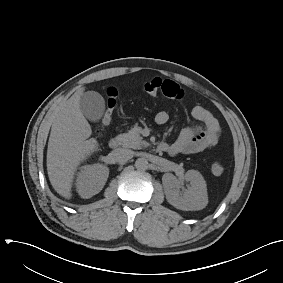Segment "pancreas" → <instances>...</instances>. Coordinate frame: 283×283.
Masks as SVG:
<instances>
[{
    "mask_svg": "<svg viewBox=\"0 0 283 283\" xmlns=\"http://www.w3.org/2000/svg\"><path fill=\"white\" fill-rule=\"evenodd\" d=\"M141 128L135 125L128 133H123L119 135V139L123 147L142 149L149 145L148 142L143 140L140 136Z\"/></svg>",
    "mask_w": 283,
    "mask_h": 283,
    "instance_id": "cf45deb5",
    "label": "pancreas"
}]
</instances>
